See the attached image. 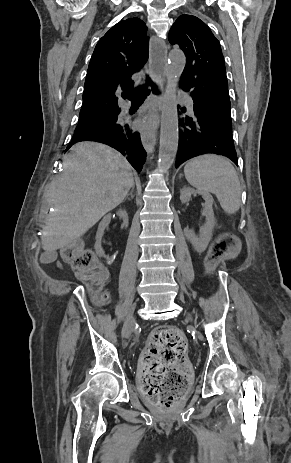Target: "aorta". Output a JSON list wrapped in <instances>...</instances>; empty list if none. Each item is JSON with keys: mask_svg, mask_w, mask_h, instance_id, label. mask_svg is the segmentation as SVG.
Wrapping results in <instances>:
<instances>
[{"mask_svg": "<svg viewBox=\"0 0 291 463\" xmlns=\"http://www.w3.org/2000/svg\"><path fill=\"white\" fill-rule=\"evenodd\" d=\"M186 64L185 55L182 52H172L168 56L167 87L164 94L158 167L161 171H167L173 164L178 149V111L176 91L179 79Z\"/></svg>", "mask_w": 291, "mask_h": 463, "instance_id": "obj_1", "label": "aorta"}]
</instances>
